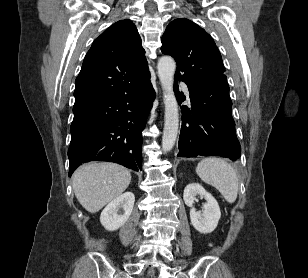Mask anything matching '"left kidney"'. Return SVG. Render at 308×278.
Segmentation results:
<instances>
[{"mask_svg": "<svg viewBox=\"0 0 308 278\" xmlns=\"http://www.w3.org/2000/svg\"><path fill=\"white\" fill-rule=\"evenodd\" d=\"M205 198L203 212H198L193 207L196 196ZM185 204L190 207V219L193 227L202 234H208L215 230L221 217L220 208L216 199L208 193L200 184L192 183L185 187L183 193Z\"/></svg>", "mask_w": 308, "mask_h": 278, "instance_id": "left-kidney-1", "label": "left kidney"}]
</instances>
